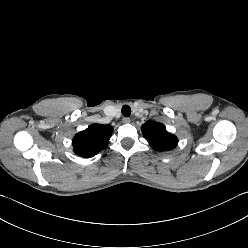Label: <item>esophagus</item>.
<instances>
[{
	"instance_id": "34e87169",
	"label": "esophagus",
	"mask_w": 248,
	"mask_h": 248,
	"mask_svg": "<svg viewBox=\"0 0 248 248\" xmlns=\"http://www.w3.org/2000/svg\"><path fill=\"white\" fill-rule=\"evenodd\" d=\"M123 122L124 123H130L131 122V119L129 117H124L123 118Z\"/></svg>"
}]
</instances>
